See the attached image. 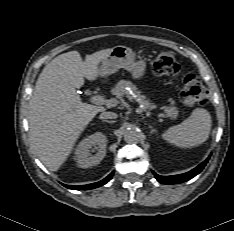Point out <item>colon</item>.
Masks as SVG:
<instances>
[{"mask_svg":"<svg viewBox=\"0 0 234 231\" xmlns=\"http://www.w3.org/2000/svg\"><path fill=\"white\" fill-rule=\"evenodd\" d=\"M152 69L160 76L176 75L180 70L179 62L170 51H161L152 62ZM181 101L188 107L202 106L208 102V92L199 78L192 73L183 76Z\"/></svg>","mask_w":234,"mask_h":231,"instance_id":"5ec220e1","label":"colon"}]
</instances>
